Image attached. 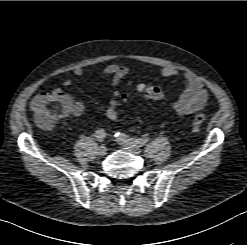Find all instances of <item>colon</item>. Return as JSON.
<instances>
[{
  "label": "colon",
  "mask_w": 247,
  "mask_h": 245,
  "mask_svg": "<svg viewBox=\"0 0 247 245\" xmlns=\"http://www.w3.org/2000/svg\"><path fill=\"white\" fill-rule=\"evenodd\" d=\"M137 92L153 100L160 99L164 95L163 90L159 86L149 83L139 84ZM125 97L126 94L120 90L115 93V97L110 101L106 110V118L109 121L117 120L120 102ZM32 110L36 123L43 129H49L56 121L67 116L70 110V102L60 93H44L34 98ZM203 122L204 116L201 113H197L193 119L194 127L199 128Z\"/></svg>",
  "instance_id": "5ec220e1"
}]
</instances>
